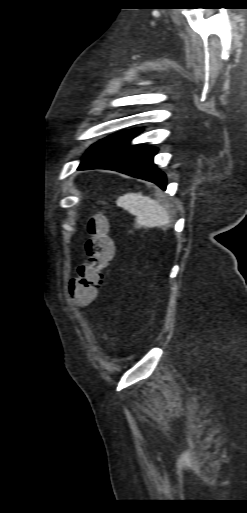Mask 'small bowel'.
<instances>
[{
    "mask_svg": "<svg viewBox=\"0 0 247 513\" xmlns=\"http://www.w3.org/2000/svg\"><path fill=\"white\" fill-rule=\"evenodd\" d=\"M93 299H94V298H93ZM93 299H92V300H93ZM92 300L88 301L87 303L91 302Z\"/></svg>",
    "mask_w": 247,
    "mask_h": 513,
    "instance_id": "small-bowel-1",
    "label": "small bowel"
}]
</instances>
